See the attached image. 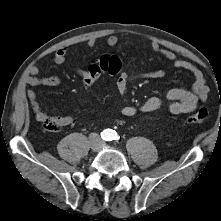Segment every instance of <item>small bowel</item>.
I'll use <instances>...</instances> for the list:
<instances>
[{
    "instance_id": "1",
    "label": "small bowel",
    "mask_w": 221,
    "mask_h": 221,
    "mask_svg": "<svg viewBox=\"0 0 221 221\" xmlns=\"http://www.w3.org/2000/svg\"><path fill=\"white\" fill-rule=\"evenodd\" d=\"M118 43V38L115 35H110L106 44L109 47H114ZM88 46L95 45V40L90 39L87 42ZM150 48L152 51L161 54L164 58L169 60L174 67L190 72L194 78V83L191 89L182 87H176L168 91L166 99L169 101V110L173 114H184L192 112L196 109L200 101L206 100L208 96V87L202 71L194 64L178 57L174 52L161 48L156 42H150ZM67 47L59 48L54 55V62L57 65H63L67 60ZM75 73L84 81L88 76L87 68H74ZM31 76L26 79V82L30 86H48L56 87L61 84V79L58 76L38 77L39 68L32 66L30 68ZM165 73L162 70L145 72L137 77L145 79H159L164 77ZM132 77L126 73H119L116 81V88L120 95H124L127 91L128 83ZM29 99L31 108L38 121H43L47 116V113L43 110L42 105L37 99L36 93L29 89L26 92ZM163 106V101L159 97H150L144 101L139 108L132 105H125L121 109V113L125 117H133L138 111L143 113H149L160 109ZM61 126H68L72 123L73 119L70 116L56 117Z\"/></svg>"
}]
</instances>
